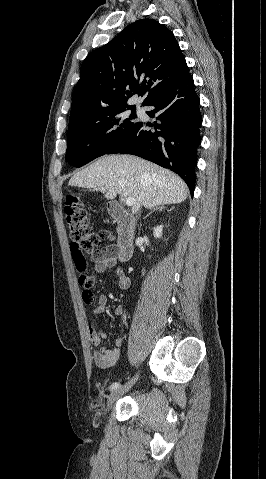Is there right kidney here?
I'll list each match as a JSON object with an SVG mask.
<instances>
[{"label": "right kidney", "instance_id": "ca27d5eb", "mask_svg": "<svg viewBox=\"0 0 266 479\" xmlns=\"http://www.w3.org/2000/svg\"><path fill=\"white\" fill-rule=\"evenodd\" d=\"M163 226H157L154 228L153 235L155 238H160L162 236Z\"/></svg>", "mask_w": 266, "mask_h": 479}]
</instances>
